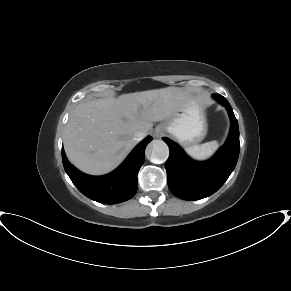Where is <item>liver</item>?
I'll return each mask as SVG.
<instances>
[{
	"label": "liver",
	"mask_w": 291,
	"mask_h": 291,
	"mask_svg": "<svg viewBox=\"0 0 291 291\" xmlns=\"http://www.w3.org/2000/svg\"><path fill=\"white\" fill-rule=\"evenodd\" d=\"M183 97L180 89L167 87L78 104L63 136L69 161L91 175L111 172L135 147L134 133L147 134L153 122L173 116Z\"/></svg>",
	"instance_id": "1"
}]
</instances>
